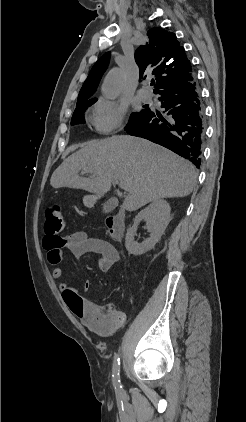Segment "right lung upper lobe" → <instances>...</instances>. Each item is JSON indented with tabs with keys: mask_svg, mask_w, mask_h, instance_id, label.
Returning <instances> with one entry per match:
<instances>
[{
	"mask_svg": "<svg viewBox=\"0 0 246 422\" xmlns=\"http://www.w3.org/2000/svg\"><path fill=\"white\" fill-rule=\"evenodd\" d=\"M147 35L149 40L136 50L135 61L139 66L140 79L152 75L156 77L155 94L194 79L190 61L174 33L161 28H151ZM109 58L108 52L94 64L80 90L76 107L97 100L90 96L95 92L108 66Z\"/></svg>",
	"mask_w": 246,
	"mask_h": 422,
	"instance_id": "right-lung-upper-lobe-1",
	"label": "right lung upper lobe"
}]
</instances>
